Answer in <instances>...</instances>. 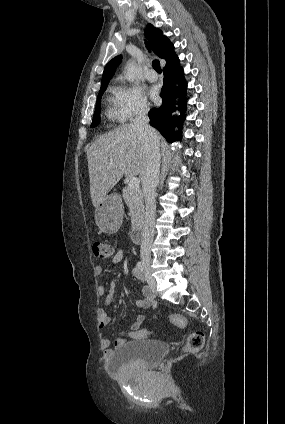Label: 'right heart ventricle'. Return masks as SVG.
<instances>
[{"label": "right heart ventricle", "mask_w": 285, "mask_h": 424, "mask_svg": "<svg viewBox=\"0 0 285 424\" xmlns=\"http://www.w3.org/2000/svg\"><path fill=\"white\" fill-rule=\"evenodd\" d=\"M105 117L110 124H117L124 121L117 102L116 87L110 88L109 95L106 98Z\"/></svg>", "instance_id": "e07e8e85"}]
</instances>
